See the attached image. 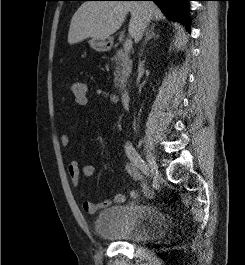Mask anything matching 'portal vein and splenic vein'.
I'll return each mask as SVG.
<instances>
[{
	"label": "portal vein and splenic vein",
	"instance_id": "obj_1",
	"mask_svg": "<svg viewBox=\"0 0 245 265\" xmlns=\"http://www.w3.org/2000/svg\"><path fill=\"white\" fill-rule=\"evenodd\" d=\"M132 40L131 39H127L126 41H125V43H124V45H123V48H124V51L125 52H130L131 51V49H132Z\"/></svg>",
	"mask_w": 245,
	"mask_h": 265
}]
</instances>
